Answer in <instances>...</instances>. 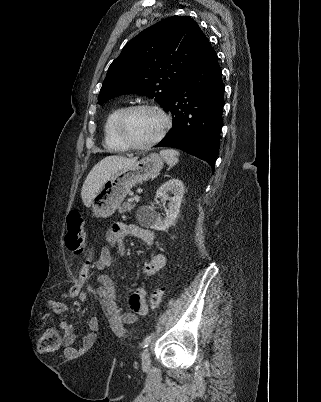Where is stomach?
Instances as JSON below:
<instances>
[{
	"mask_svg": "<svg viewBox=\"0 0 321 402\" xmlns=\"http://www.w3.org/2000/svg\"><path fill=\"white\" fill-rule=\"evenodd\" d=\"M163 164L162 156L151 153L113 174L92 198L91 207L94 216L107 218L114 214L130 189L157 175Z\"/></svg>",
	"mask_w": 321,
	"mask_h": 402,
	"instance_id": "stomach-1",
	"label": "stomach"
}]
</instances>
